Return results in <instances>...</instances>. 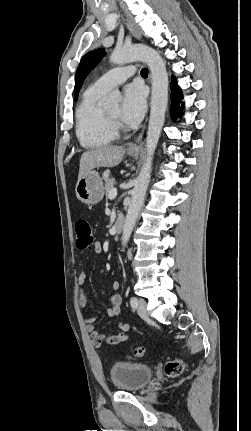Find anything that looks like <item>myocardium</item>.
I'll use <instances>...</instances> for the list:
<instances>
[{
  "label": "myocardium",
  "mask_w": 251,
  "mask_h": 431,
  "mask_svg": "<svg viewBox=\"0 0 251 431\" xmlns=\"http://www.w3.org/2000/svg\"><path fill=\"white\" fill-rule=\"evenodd\" d=\"M105 119L109 125V127L116 133L126 130L125 124L121 119L114 118L109 115L106 111H104Z\"/></svg>",
  "instance_id": "myocardium-1"
}]
</instances>
